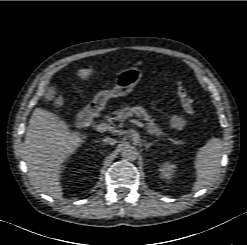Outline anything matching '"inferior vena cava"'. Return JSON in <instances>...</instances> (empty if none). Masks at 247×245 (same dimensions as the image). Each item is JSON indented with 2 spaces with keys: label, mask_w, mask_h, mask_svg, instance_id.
Returning <instances> with one entry per match:
<instances>
[{
  "label": "inferior vena cava",
  "mask_w": 247,
  "mask_h": 245,
  "mask_svg": "<svg viewBox=\"0 0 247 245\" xmlns=\"http://www.w3.org/2000/svg\"><path fill=\"white\" fill-rule=\"evenodd\" d=\"M103 141H104L105 143H107V144H110V145H114V144L117 143V141H116L115 139L110 138V137H105V138L103 139Z\"/></svg>",
  "instance_id": "obj_1"
}]
</instances>
